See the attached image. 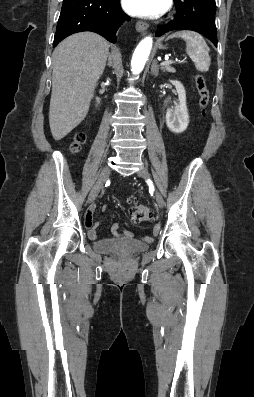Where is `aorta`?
Listing matches in <instances>:
<instances>
[{"mask_svg": "<svg viewBox=\"0 0 254 397\" xmlns=\"http://www.w3.org/2000/svg\"><path fill=\"white\" fill-rule=\"evenodd\" d=\"M152 42L151 37H146L138 44L131 61L133 74H138L143 70L152 48Z\"/></svg>", "mask_w": 254, "mask_h": 397, "instance_id": "1", "label": "aorta"}]
</instances>
